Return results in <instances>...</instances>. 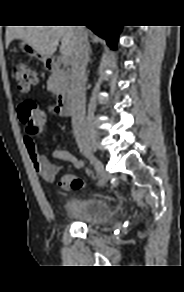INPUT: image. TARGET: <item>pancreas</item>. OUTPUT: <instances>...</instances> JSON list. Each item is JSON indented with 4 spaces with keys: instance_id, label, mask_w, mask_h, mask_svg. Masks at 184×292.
Segmentation results:
<instances>
[{
    "instance_id": "pancreas-1",
    "label": "pancreas",
    "mask_w": 184,
    "mask_h": 292,
    "mask_svg": "<svg viewBox=\"0 0 184 292\" xmlns=\"http://www.w3.org/2000/svg\"><path fill=\"white\" fill-rule=\"evenodd\" d=\"M63 71H55L49 77L47 82L48 91L53 94L59 93L60 89H66L68 86V82L62 76Z\"/></svg>"
}]
</instances>
